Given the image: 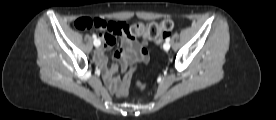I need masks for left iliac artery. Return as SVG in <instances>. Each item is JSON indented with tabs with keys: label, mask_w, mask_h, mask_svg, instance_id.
Wrapping results in <instances>:
<instances>
[{
	"label": "left iliac artery",
	"mask_w": 276,
	"mask_h": 120,
	"mask_svg": "<svg viewBox=\"0 0 276 120\" xmlns=\"http://www.w3.org/2000/svg\"><path fill=\"white\" fill-rule=\"evenodd\" d=\"M169 41H170V37H167L166 38V43H169Z\"/></svg>",
	"instance_id": "1"
}]
</instances>
